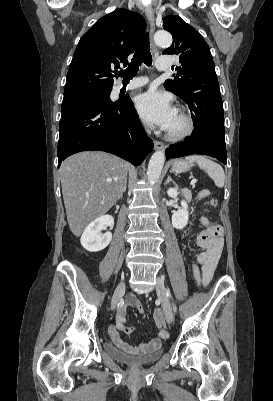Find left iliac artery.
<instances>
[{"instance_id":"left-iliac-artery-1","label":"left iliac artery","mask_w":273,"mask_h":401,"mask_svg":"<svg viewBox=\"0 0 273 401\" xmlns=\"http://www.w3.org/2000/svg\"><path fill=\"white\" fill-rule=\"evenodd\" d=\"M167 296H170V292H169V291H167ZM173 310H174V311L176 310V307H175V306H173Z\"/></svg>"}]
</instances>
